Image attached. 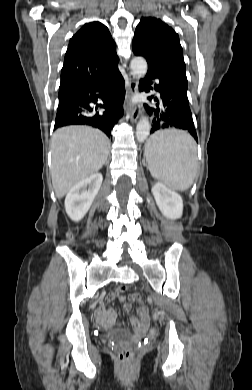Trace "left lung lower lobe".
<instances>
[{"mask_svg": "<svg viewBox=\"0 0 252 390\" xmlns=\"http://www.w3.org/2000/svg\"><path fill=\"white\" fill-rule=\"evenodd\" d=\"M149 78V79H148ZM151 79H157L154 89L160 93V99L149 97L160 103L156 109L148 107L149 112H154V118L150 133L160 129L179 128L187 130L197 141V134L194 127L192 113L187 97V87L181 85L176 80L166 75L157 74L152 71L147 72L146 80L140 83V90L148 92L152 90Z\"/></svg>", "mask_w": 252, "mask_h": 390, "instance_id": "obj_1", "label": "left lung lower lobe"}]
</instances>
